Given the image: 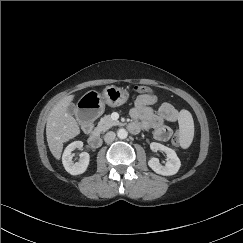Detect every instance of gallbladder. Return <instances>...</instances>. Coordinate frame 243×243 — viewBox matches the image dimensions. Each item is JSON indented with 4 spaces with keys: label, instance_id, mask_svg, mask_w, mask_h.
Here are the masks:
<instances>
[{
    "label": "gallbladder",
    "instance_id": "gallbladder-1",
    "mask_svg": "<svg viewBox=\"0 0 243 243\" xmlns=\"http://www.w3.org/2000/svg\"><path fill=\"white\" fill-rule=\"evenodd\" d=\"M77 112V107L75 106V104L70 103L67 107V113L70 115H75Z\"/></svg>",
    "mask_w": 243,
    "mask_h": 243
}]
</instances>
